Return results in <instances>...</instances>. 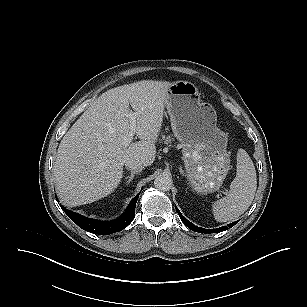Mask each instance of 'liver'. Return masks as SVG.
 I'll return each mask as SVG.
<instances>
[{
  "instance_id": "liver-1",
  "label": "liver",
  "mask_w": 307,
  "mask_h": 307,
  "mask_svg": "<svg viewBox=\"0 0 307 307\" xmlns=\"http://www.w3.org/2000/svg\"><path fill=\"white\" fill-rule=\"evenodd\" d=\"M171 84L143 80L110 89L72 125L59 144L53 166L64 205H84L111 194L128 159L153 164ZM129 104L137 114L135 134L140 141L125 146L123 138L130 132Z\"/></svg>"
}]
</instances>
